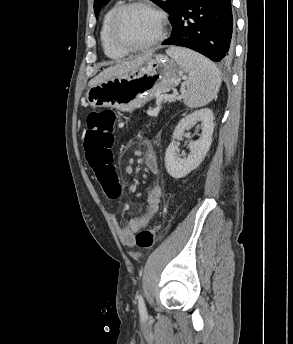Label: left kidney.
I'll use <instances>...</instances> for the list:
<instances>
[{
    "label": "left kidney",
    "mask_w": 293,
    "mask_h": 344,
    "mask_svg": "<svg viewBox=\"0 0 293 344\" xmlns=\"http://www.w3.org/2000/svg\"><path fill=\"white\" fill-rule=\"evenodd\" d=\"M213 121V112L208 108L197 110L179 121L173 132V141L165 153V166L170 176L175 179L183 178L201 164L212 143ZM197 122L201 123V136L197 141L190 143V154L186 158H181L177 153L175 140L183 136L185 130Z\"/></svg>",
    "instance_id": "obj_1"
}]
</instances>
